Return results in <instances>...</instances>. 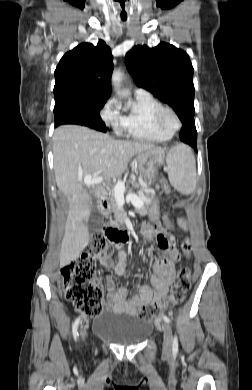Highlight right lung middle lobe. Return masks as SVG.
<instances>
[{"label": "right lung middle lobe", "mask_w": 252, "mask_h": 390, "mask_svg": "<svg viewBox=\"0 0 252 390\" xmlns=\"http://www.w3.org/2000/svg\"><path fill=\"white\" fill-rule=\"evenodd\" d=\"M104 104L105 101L78 100L55 103V127L62 124H77L106 132L107 127L100 117V110Z\"/></svg>", "instance_id": "obj_1"}]
</instances>
